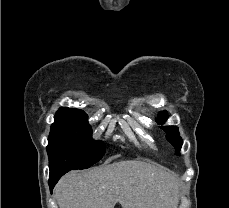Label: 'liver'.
<instances>
[{
  "instance_id": "liver-1",
  "label": "liver",
  "mask_w": 229,
  "mask_h": 208,
  "mask_svg": "<svg viewBox=\"0 0 229 208\" xmlns=\"http://www.w3.org/2000/svg\"><path fill=\"white\" fill-rule=\"evenodd\" d=\"M179 184L163 166L146 162H115L83 172H69L59 180L55 198L59 208H177Z\"/></svg>"
}]
</instances>
